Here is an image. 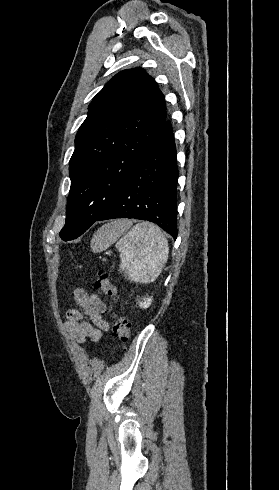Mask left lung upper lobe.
<instances>
[{"instance_id": "1", "label": "left lung upper lobe", "mask_w": 279, "mask_h": 490, "mask_svg": "<svg viewBox=\"0 0 279 490\" xmlns=\"http://www.w3.org/2000/svg\"><path fill=\"white\" fill-rule=\"evenodd\" d=\"M167 120L163 93L140 67L119 72L94 97L69 162L71 187L61 239H76L102 216Z\"/></svg>"}]
</instances>
